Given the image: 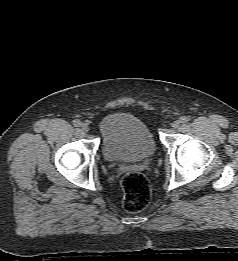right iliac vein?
Returning <instances> with one entry per match:
<instances>
[{"mask_svg": "<svg viewBox=\"0 0 238 261\" xmlns=\"http://www.w3.org/2000/svg\"><path fill=\"white\" fill-rule=\"evenodd\" d=\"M81 129L83 132H88L89 131V126L85 123L81 124Z\"/></svg>", "mask_w": 238, "mask_h": 261, "instance_id": "63e3f726", "label": "right iliac vein"}]
</instances>
